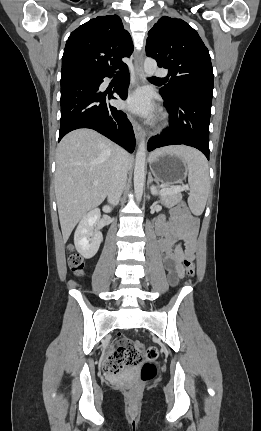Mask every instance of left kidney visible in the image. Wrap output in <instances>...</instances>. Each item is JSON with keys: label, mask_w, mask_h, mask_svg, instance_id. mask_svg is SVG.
Instances as JSON below:
<instances>
[{"label": "left kidney", "mask_w": 261, "mask_h": 431, "mask_svg": "<svg viewBox=\"0 0 261 431\" xmlns=\"http://www.w3.org/2000/svg\"><path fill=\"white\" fill-rule=\"evenodd\" d=\"M151 192H152L153 194H157V189L153 186V187L151 188Z\"/></svg>", "instance_id": "5707ae66"}]
</instances>
